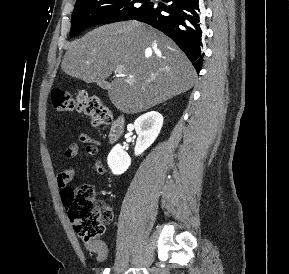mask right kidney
I'll return each mask as SVG.
<instances>
[{
  "instance_id": "obj_1",
  "label": "right kidney",
  "mask_w": 289,
  "mask_h": 274,
  "mask_svg": "<svg viewBox=\"0 0 289 274\" xmlns=\"http://www.w3.org/2000/svg\"><path fill=\"white\" fill-rule=\"evenodd\" d=\"M162 125L163 116L156 111L147 112L135 120L134 127L138 136L134 149L136 156L141 155L154 143L160 133ZM107 163L114 175H120L129 168L131 158L127 152L123 150V147L117 144L110 151Z\"/></svg>"
}]
</instances>
